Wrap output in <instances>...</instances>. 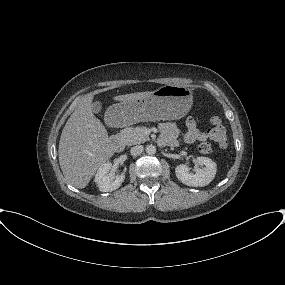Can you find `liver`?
I'll list each match as a JSON object with an SVG mask.
<instances>
[{"mask_svg":"<svg viewBox=\"0 0 285 285\" xmlns=\"http://www.w3.org/2000/svg\"><path fill=\"white\" fill-rule=\"evenodd\" d=\"M151 92H137L115 96V101L141 99ZM93 96L84 97L66 122L59 141V164L68 180L76 188H85L99 166L117 150L107 130L92 110Z\"/></svg>","mask_w":285,"mask_h":285,"instance_id":"6515ba94","label":"liver"}]
</instances>
